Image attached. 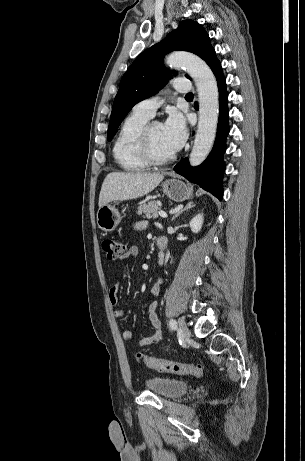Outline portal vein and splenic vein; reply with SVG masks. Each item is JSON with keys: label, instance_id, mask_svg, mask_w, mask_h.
Listing matches in <instances>:
<instances>
[{"label": "portal vein and splenic vein", "instance_id": "portal-vein-and-splenic-vein-1", "mask_svg": "<svg viewBox=\"0 0 305 461\" xmlns=\"http://www.w3.org/2000/svg\"><path fill=\"white\" fill-rule=\"evenodd\" d=\"M158 215L162 218H166L167 217V214L164 212V211H159L158 212Z\"/></svg>", "mask_w": 305, "mask_h": 461}]
</instances>
